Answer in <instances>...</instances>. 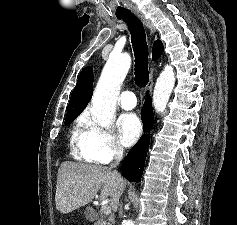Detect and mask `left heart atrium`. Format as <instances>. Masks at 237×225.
Segmentation results:
<instances>
[{
    "label": "left heart atrium",
    "mask_w": 237,
    "mask_h": 225,
    "mask_svg": "<svg viewBox=\"0 0 237 225\" xmlns=\"http://www.w3.org/2000/svg\"><path fill=\"white\" fill-rule=\"evenodd\" d=\"M117 126L121 142L125 146L133 145L142 132L141 122L133 113L122 114L117 121Z\"/></svg>",
    "instance_id": "left-heart-atrium-1"
}]
</instances>
